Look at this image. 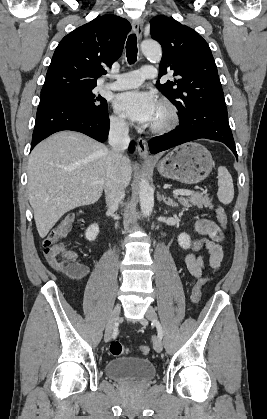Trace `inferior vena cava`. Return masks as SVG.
Returning <instances> with one entry per match:
<instances>
[{"label": "inferior vena cava", "mask_w": 267, "mask_h": 419, "mask_svg": "<svg viewBox=\"0 0 267 419\" xmlns=\"http://www.w3.org/2000/svg\"><path fill=\"white\" fill-rule=\"evenodd\" d=\"M129 127L124 120H114L110 124L109 144L111 150L107 156V172L104 190L107 207L115 211L125 197L126 176L122 171L123 152L129 146Z\"/></svg>", "instance_id": "602c4592"}]
</instances>
